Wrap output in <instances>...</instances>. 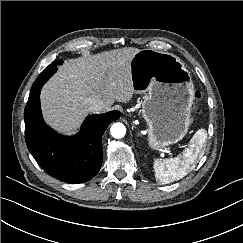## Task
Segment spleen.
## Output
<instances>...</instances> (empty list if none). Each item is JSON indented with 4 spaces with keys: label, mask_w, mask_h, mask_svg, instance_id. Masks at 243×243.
Here are the masks:
<instances>
[{
    "label": "spleen",
    "mask_w": 243,
    "mask_h": 243,
    "mask_svg": "<svg viewBox=\"0 0 243 243\" xmlns=\"http://www.w3.org/2000/svg\"><path fill=\"white\" fill-rule=\"evenodd\" d=\"M207 131L199 129L191 139V144L181 155L170 159H155L154 171L156 180L161 184H168L186 176L203 156Z\"/></svg>",
    "instance_id": "spleen-1"
}]
</instances>
